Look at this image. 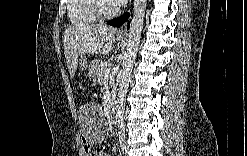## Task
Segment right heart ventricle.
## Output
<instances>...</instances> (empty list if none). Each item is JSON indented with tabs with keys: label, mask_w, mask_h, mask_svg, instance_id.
Returning a JSON list of instances; mask_svg holds the SVG:
<instances>
[{
	"label": "right heart ventricle",
	"mask_w": 247,
	"mask_h": 156,
	"mask_svg": "<svg viewBox=\"0 0 247 156\" xmlns=\"http://www.w3.org/2000/svg\"><path fill=\"white\" fill-rule=\"evenodd\" d=\"M91 0H71L68 2V17L72 25L84 26L97 22L91 11Z\"/></svg>",
	"instance_id": "obj_1"
}]
</instances>
